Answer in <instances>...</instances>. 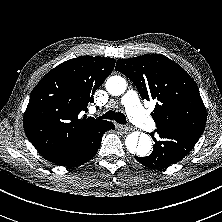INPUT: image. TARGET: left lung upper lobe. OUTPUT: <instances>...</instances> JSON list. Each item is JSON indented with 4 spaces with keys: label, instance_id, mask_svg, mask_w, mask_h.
Masks as SVG:
<instances>
[{
    "label": "left lung upper lobe",
    "instance_id": "obj_1",
    "mask_svg": "<svg viewBox=\"0 0 222 222\" xmlns=\"http://www.w3.org/2000/svg\"><path fill=\"white\" fill-rule=\"evenodd\" d=\"M116 71L127 76L143 99L156 100L151 115L158 126L177 127L202 134L206 109L194 80L162 54L119 59Z\"/></svg>",
    "mask_w": 222,
    "mask_h": 222
}]
</instances>
